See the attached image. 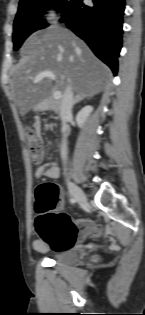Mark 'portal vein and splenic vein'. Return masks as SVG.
<instances>
[{
  "label": "portal vein and splenic vein",
  "instance_id": "portal-vein-and-splenic-vein-1",
  "mask_svg": "<svg viewBox=\"0 0 145 315\" xmlns=\"http://www.w3.org/2000/svg\"><path fill=\"white\" fill-rule=\"evenodd\" d=\"M44 78H50L52 80H55L56 76L53 72L51 71H43L39 74H37L34 78V82H40ZM62 97V92L57 90L53 93V98L54 99H60Z\"/></svg>",
  "mask_w": 145,
  "mask_h": 315
}]
</instances>
